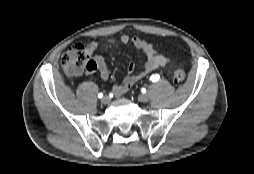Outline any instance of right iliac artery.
<instances>
[{"instance_id": "right-iliac-artery-1", "label": "right iliac artery", "mask_w": 254, "mask_h": 174, "mask_svg": "<svg viewBox=\"0 0 254 174\" xmlns=\"http://www.w3.org/2000/svg\"><path fill=\"white\" fill-rule=\"evenodd\" d=\"M98 97H99V98H102V97H103V94H102V93H99V94H98Z\"/></svg>"}]
</instances>
